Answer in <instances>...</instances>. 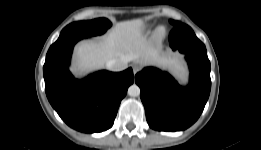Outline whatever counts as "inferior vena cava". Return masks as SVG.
Listing matches in <instances>:
<instances>
[{"label": "inferior vena cava", "instance_id": "1", "mask_svg": "<svg viewBox=\"0 0 261 150\" xmlns=\"http://www.w3.org/2000/svg\"><path fill=\"white\" fill-rule=\"evenodd\" d=\"M128 58L127 57H121L119 59H112L109 60L106 63V66L108 69L112 70V71H123L128 67Z\"/></svg>", "mask_w": 261, "mask_h": 150}]
</instances>
